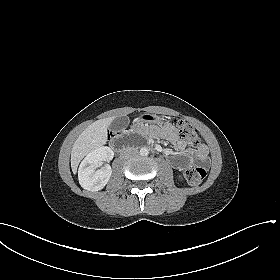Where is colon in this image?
<instances>
[{
  "mask_svg": "<svg viewBox=\"0 0 280 280\" xmlns=\"http://www.w3.org/2000/svg\"><path fill=\"white\" fill-rule=\"evenodd\" d=\"M174 123L181 138L187 140L193 147L200 146L198 132L192 125L180 119H175ZM184 176L190 184L198 185L206 178L207 170L203 166H191L185 170Z\"/></svg>",
  "mask_w": 280,
  "mask_h": 280,
  "instance_id": "5ec220e1",
  "label": "colon"
}]
</instances>
